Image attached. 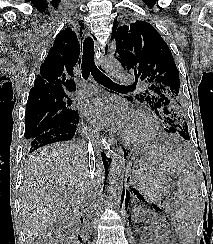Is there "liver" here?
I'll use <instances>...</instances> for the list:
<instances>
[{
	"label": "liver",
	"mask_w": 213,
	"mask_h": 244,
	"mask_svg": "<svg viewBox=\"0 0 213 244\" xmlns=\"http://www.w3.org/2000/svg\"><path fill=\"white\" fill-rule=\"evenodd\" d=\"M85 148L74 143H55L38 149L27 161L22 183L21 215L29 244L72 209L83 205L86 195L100 182L103 165L96 162L94 180Z\"/></svg>",
	"instance_id": "6515ba94"
}]
</instances>
